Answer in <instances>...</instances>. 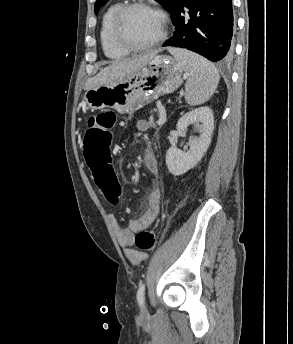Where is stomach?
I'll use <instances>...</instances> for the list:
<instances>
[{"mask_svg": "<svg viewBox=\"0 0 293 344\" xmlns=\"http://www.w3.org/2000/svg\"><path fill=\"white\" fill-rule=\"evenodd\" d=\"M184 71L172 56L156 54L135 74L88 90L84 101L91 110L113 108L119 113H133L154 97L180 87Z\"/></svg>", "mask_w": 293, "mask_h": 344, "instance_id": "stomach-1", "label": "stomach"}]
</instances>
